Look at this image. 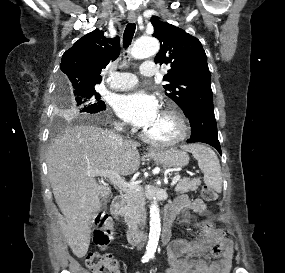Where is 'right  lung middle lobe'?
<instances>
[{
  "label": "right lung middle lobe",
  "instance_id": "right-lung-middle-lobe-1",
  "mask_svg": "<svg viewBox=\"0 0 285 273\" xmlns=\"http://www.w3.org/2000/svg\"><path fill=\"white\" fill-rule=\"evenodd\" d=\"M100 97L94 88L71 90L67 82L60 77L57 94L59 117L74 120L88 113H97L105 106Z\"/></svg>",
  "mask_w": 285,
  "mask_h": 273
}]
</instances>
